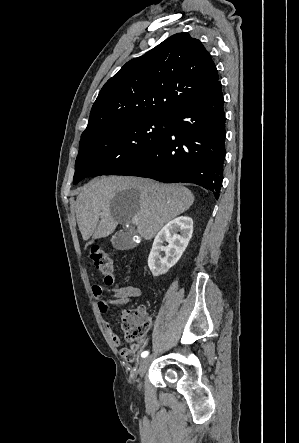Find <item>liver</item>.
<instances>
[{
    "instance_id": "6515ba94",
    "label": "liver",
    "mask_w": 299,
    "mask_h": 443,
    "mask_svg": "<svg viewBox=\"0 0 299 443\" xmlns=\"http://www.w3.org/2000/svg\"><path fill=\"white\" fill-rule=\"evenodd\" d=\"M194 202L193 193L180 185H166L150 179L102 176L84 185L76 199V218L83 240L100 239L114 232L118 224L138 217L137 232L151 240Z\"/></svg>"
}]
</instances>
